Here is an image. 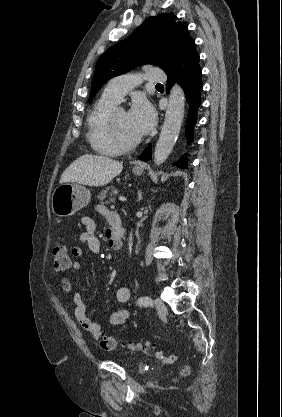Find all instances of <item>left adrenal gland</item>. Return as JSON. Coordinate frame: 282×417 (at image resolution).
I'll use <instances>...</instances> for the list:
<instances>
[{
    "mask_svg": "<svg viewBox=\"0 0 282 417\" xmlns=\"http://www.w3.org/2000/svg\"><path fill=\"white\" fill-rule=\"evenodd\" d=\"M138 200H142V192H141V190H138Z\"/></svg>",
    "mask_w": 282,
    "mask_h": 417,
    "instance_id": "1",
    "label": "left adrenal gland"
}]
</instances>
